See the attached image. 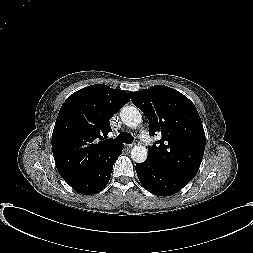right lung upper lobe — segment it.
Returning <instances> with one entry per match:
<instances>
[{
    "label": "right lung upper lobe",
    "mask_w": 253,
    "mask_h": 253,
    "mask_svg": "<svg viewBox=\"0 0 253 253\" xmlns=\"http://www.w3.org/2000/svg\"><path fill=\"white\" fill-rule=\"evenodd\" d=\"M130 100L129 93L91 85L70 95L62 105L52 134L56 167L64 180L99 166L122 143L107 139L109 120Z\"/></svg>",
    "instance_id": "cb5924a9"
}]
</instances>
